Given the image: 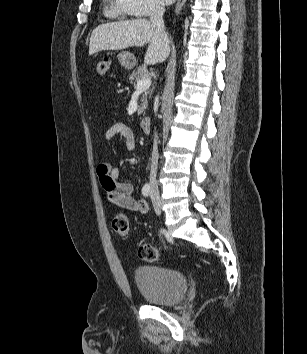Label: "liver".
Returning a JSON list of instances; mask_svg holds the SVG:
<instances>
[{
	"label": "liver",
	"mask_w": 307,
	"mask_h": 354,
	"mask_svg": "<svg viewBox=\"0 0 307 354\" xmlns=\"http://www.w3.org/2000/svg\"><path fill=\"white\" fill-rule=\"evenodd\" d=\"M149 43L144 62L154 65L163 62L170 52V41L147 19L102 24L94 29L90 38L89 55L99 51L123 50L143 47Z\"/></svg>",
	"instance_id": "obj_1"
}]
</instances>
